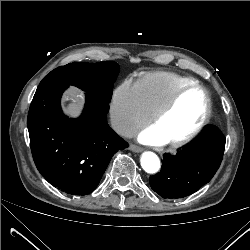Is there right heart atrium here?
<instances>
[{
  "instance_id": "1",
  "label": "right heart atrium",
  "mask_w": 250,
  "mask_h": 250,
  "mask_svg": "<svg viewBox=\"0 0 250 250\" xmlns=\"http://www.w3.org/2000/svg\"><path fill=\"white\" fill-rule=\"evenodd\" d=\"M110 117L113 129L124 137L130 136L151 119L137 85L130 79L122 81L114 89Z\"/></svg>"
}]
</instances>
